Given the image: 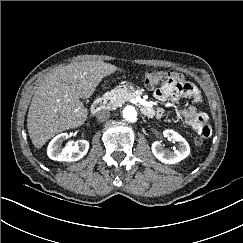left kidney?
Instances as JSON below:
<instances>
[{"instance_id":"left-kidney-1","label":"left kidney","mask_w":243,"mask_h":243,"mask_svg":"<svg viewBox=\"0 0 243 243\" xmlns=\"http://www.w3.org/2000/svg\"><path fill=\"white\" fill-rule=\"evenodd\" d=\"M164 137L179 144L178 148H173L172 151L163 148L159 141H155L152 146L153 155L162 163L176 164L185 159L190 153L188 142L177 132L173 130H165Z\"/></svg>"}]
</instances>
